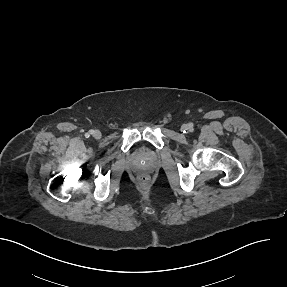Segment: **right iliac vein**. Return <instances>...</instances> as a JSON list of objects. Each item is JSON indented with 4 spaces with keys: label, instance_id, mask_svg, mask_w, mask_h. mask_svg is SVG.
I'll use <instances>...</instances> for the list:
<instances>
[{
    "label": "right iliac vein",
    "instance_id": "63e3f726",
    "mask_svg": "<svg viewBox=\"0 0 287 287\" xmlns=\"http://www.w3.org/2000/svg\"><path fill=\"white\" fill-rule=\"evenodd\" d=\"M93 137H94L95 139H100V138H101V132L98 131V130L94 131V132H93Z\"/></svg>",
    "mask_w": 287,
    "mask_h": 287
}]
</instances>
